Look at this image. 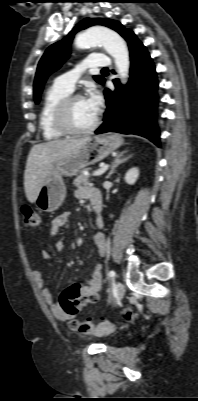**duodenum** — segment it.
Wrapping results in <instances>:
<instances>
[{
	"mask_svg": "<svg viewBox=\"0 0 198 401\" xmlns=\"http://www.w3.org/2000/svg\"><path fill=\"white\" fill-rule=\"evenodd\" d=\"M91 204L96 214H99L102 209V199L98 192H92L90 195Z\"/></svg>",
	"mask_w": 198,
	"mask_h": 401,
	"instance_id": "1",
	"label": "duodenum"
}]
</instances>
